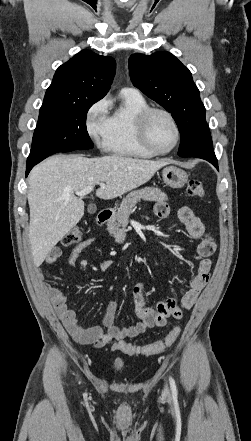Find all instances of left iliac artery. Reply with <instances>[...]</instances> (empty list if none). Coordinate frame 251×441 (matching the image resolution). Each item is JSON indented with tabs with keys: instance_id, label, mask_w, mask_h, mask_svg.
Returning a JSON list of instances; mask_svg holds the SVG:
<instances>
[{
	"instance_id": "obj_1",
	"label": "left iliac artery",
	"mask_w": 251,
	"mask_h": 441,
	"mask_svg": "<svg viewBox=\"0 0 251 441\" xmlns=\"http://www.w3.org/2000/svg\"><path fill=\"white\" fill-rule=\"evenodd\" d=\"M169 382H170V387H171L172 392L174 394H176L177 393L176 383H175V380L171 376L169 377Z\"/></svg>"
}]
</instances>
